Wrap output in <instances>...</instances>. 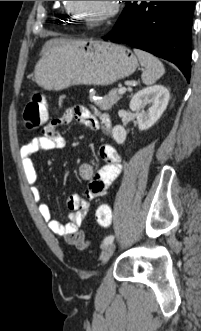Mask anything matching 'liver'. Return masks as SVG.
I'll return each instance as SVG.
<instances>
[{"label":"liver","instance_id":"1","mask_svg":"<svg viewBox=\"0 0 201 331\" xmlns=\"http://www.w3.org/2000/svg\"><path fill=\"white\" fill-rule=\"evenodd\" d=\"M65 41H67V40H65V39H51V40H48L44 44L41 53L43 54L46 50H48L53 45L58 44V43H62V42H65Z\"/></svg>","mask_w":201,"mask_h":331}]
</instances>
